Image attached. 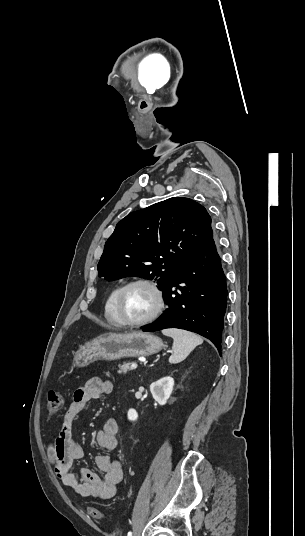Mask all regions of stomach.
Returning a JSON list of instances; mask_svg holds the SVG:
<instances>
[{
    "label": "stomach",
    "mask_w": 305,
    "mask_h": 536,
    "mask_svg": "<svg viewBox=\"0 0 305 536\" xmlns=\"http://www.w3.org/2000/svg\"><path fill=\"white\" fill-rule=\"evenodd\" d=\"M161 338L148 332L132 334H103L91 340L74 356V366L84 368L97 360H120V358H141L152 356L163 350Z\"/></svg>",
    "instance_id": "obj_1"
}]
</instances>
